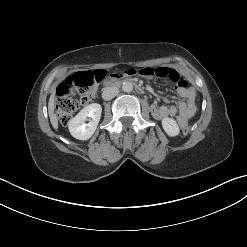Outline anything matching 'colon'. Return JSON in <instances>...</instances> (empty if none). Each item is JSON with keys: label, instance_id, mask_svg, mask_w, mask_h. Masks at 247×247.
I'll use <instances>...</instances> for the list:
<instances>
[{"label": "colon", "instance_id": "5ec220e1", "mask_svg": "<svg viewBox=\"0 0 247 247\" xmlns=\"http://www.w3.org/2000/svg\"><path fill=\"white\" fill-rule=\"evenodd\" d=\"M106 72H79L68 76L56 92V115L62 125H67L72 116L81 105L92 101L96 95V88L100 81L106 77ZM191 128L182 127L183 135H188Z\"/></svg>", "mask_w": 247, "mask_h": 247}]
</instances>
